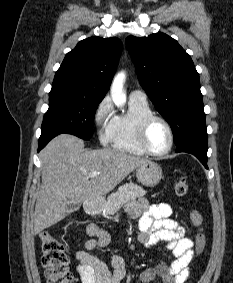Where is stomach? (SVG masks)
Listing matches in <instances>:
<instances>
[{"mask_svg": "<svg viewBox=\"0 0 233 283\" xmlns=\"http://www.w3.org/2000/svg\"><path fill=\"white\" fill-rule=\"evenodd\" d=\"M136 177L141 184L154 187L163 178L162 168L155 162H146L137 167Z\"/></svg>", "mask_w": 233, "mask_h": 283, "instance_id": "1", "label": "stomach"}]
</instances>
